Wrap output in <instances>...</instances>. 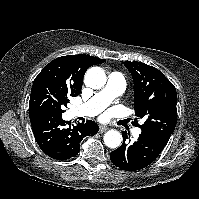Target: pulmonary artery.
<instances>
[{
	"label": "pulmonary artery",
	"mask_w": 199,
	"mask_h": 199,
	"mask_svg": "<svg viewBox=\"0 0 199 199\" xmlns=\"http://www.w3.org/2000/svg\"><path fill=\"white\" fill-rule=\"evenodd\" d=\"M125 89V79L119 72H112L108 76L106 86L96 93L88 101L77 105L71 109L72 116H95L103 111L111 101L119 96ZM140 134L139 129L133 131L137 137Z\"/></svg>",
	"instance_id": "1"
}]
</instances>
